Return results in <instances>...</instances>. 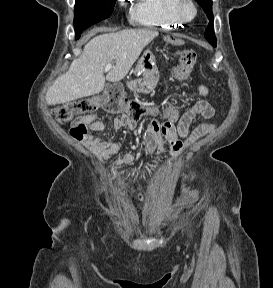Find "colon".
Here are the masks:
<instances>
[{"label":"colon","instance_id":"5ec220e1","mask_svg":"<svg viewBox=\"0 0 273 288\" xmlns=\"http://www.w3.org/2000/svg\"><path fill=\"white\" fill-rule=\"evenodd\" d=\"M180 64L175 69V76L180 79H186L192 72L197 55L195 51L191 49H185L179 53ZM103 105L105 108L113 113L125 111L128 114L135 115L139 111L143 110L140 104L135 102H129L121 99L120 94L115 91H109L108 95L103 99ZM101 101L97 98H85L73 101L63 106L57 107L53 110V117L59 123H69L76 118H81L87 114L93 112L100 105ZM165 114L174 119L176 117L175 111L168 109ZM87 133V124L84 122H77L70 130V134L75 139L82 138Z\"/></svg>","mask_w":273,"mask_h":288}]
</instances>
